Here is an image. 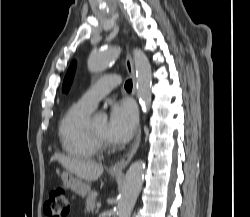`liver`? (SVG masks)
<instances>
[{"mask_svg": "<svg viewBox=\"0 0 250 217\" xmlns=\"http://www.w3.org/2000/svg\"><path fill=\"white\" fill-rule=\"evenodd\" d=\"M51 162L58 161L66 170L84 181H96L103 173V166L94 161L54 154Z\"/></svg>", "mask_w": 250, "mask_h": 217, "instance_id": "1", "label": "liver"}]
</instances>
